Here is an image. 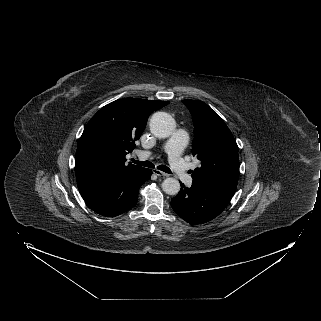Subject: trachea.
<instances>
[{"label": "trachea", "instance_id": "1", "mask_svg": "<svg viewBox=\"0 0 321 321\" xmlns=\"http://www.w3.org/2000/svg\"><path fill=\"white\" fill-rule=\"evenodd\" d=\"M132 162L137 164V165L148 167V168H154L155 167V165L150 161H138V160L132 159ZM157 168L159 170L163 171V172H166V173H169V174L172 173L170 168L165 166V165H159V166H157Z\"/></svg>", "mask_w": 321, "mask_h": 321}]
</instances>
